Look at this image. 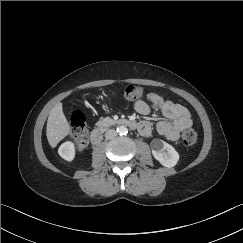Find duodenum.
<instances>
[{"label": "duodenum", "mask_w": 243, "mask_h": 243, "mask_svg": "<svg viewBox=\"0 0 243 243\" xmlns=\"http://www.w3.org/2000/svg\"><path fill=\"white\" fill-rule=\"evenodd\" d=\"M118 125L126 126L131 129H138L139 124L133 120L130 119H121L116 122ZM102 138V131L99 128H95L92 130L90 134V140L93 144H97Z\"/></svg>", "instance_id": "obj_1"}]
</instances>
